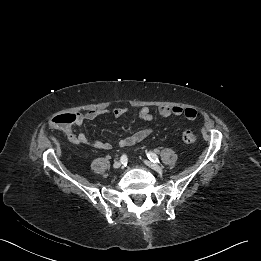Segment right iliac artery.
Here are the masks:
<instances>
[{
	"instance_id": "obj_1",
	"label": "right iliac artery",
	"mask_w": 261,
	"mask_h": 261,
	"mask_svg": "<svg viewBox=\"0 0 261 261\" xmlns=\"http://www.w3.org/2000/svg\"><path fill=\"white\" fill-rule=\"evenodd\" d=\"M120 162H121L122 164H126V163H127V156H126L125 154H123V155L121 156Z\"/></svg>"
}]
</instances>
